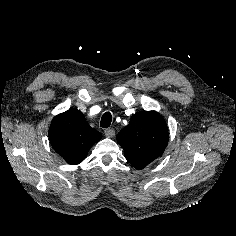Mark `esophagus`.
<instances>
[{
    "instance_id": "esophagus-1",
    "label": "esophagus",
    "mask_w": 236,
    "mask_h": 236,
    "mask_svg": "<svg viewBox=\"0 0 236 236\" xmlns=\"http://www.w3.org/2000/svg\"><path fill=\"white\" fill-rule=\"evenodd\" d=\"M105 135L109 138H112L115 136V130L114 129H106L104 131Z\"/></svg>"
}]
</instances>
